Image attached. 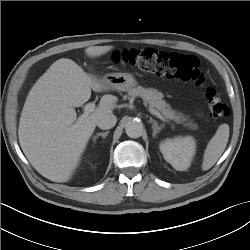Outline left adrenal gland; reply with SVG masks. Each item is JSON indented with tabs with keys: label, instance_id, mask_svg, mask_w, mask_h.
<instances>
[{
	"label": "left adrenal gland",
	"instance_id": "left-adrenal-gland-1",
	"mask_svg": "<svg viewBox=\"0 0 250 250\" xmlns=\"http://www.w3.org/2000/svg\"><path fill=\"white\" fill-rule=\"evenodd\" d=\"M150 122L152 123V129H153V137L155 138L156 135L163 129L164 125H158L156 120H153L150 118Z\"/></svg>",
	"mask_w": 250,
	"mask_h": 250
}]
</instances>
